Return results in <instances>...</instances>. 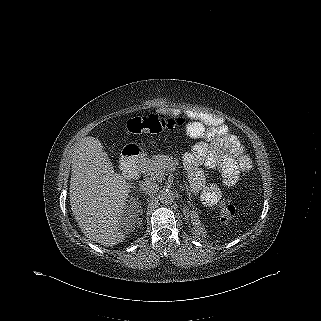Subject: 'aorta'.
Segmentation results:
<instances>
[{"label": "aorta", "instance_id": "1", "mask_svg": "<svg viewBox=\"0 0 321 321\" xmlns=\"http://www.w3.org/2000/svg\"><path fill=\"white\" fill-rule=\"evenodd\" d=\"M160 202L164 205H170L174 202L175 196L174 193L170 190L162 191L159 195Z\"/></svg>", "mask_w": 321, "mask_h": 321}]
</instances>
